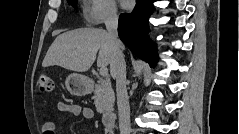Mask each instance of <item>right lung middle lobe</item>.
<instances>
[{
  "label": "right lung middle lobe",
  "instance_id": "right-lung-middle-lobe-1",
  "mask_svg": "<svg viewBox=\"0 0 239 134\" xmlns=\"http://www.w3.org/2000/svg\"><path fill=\"white\" fill-rule=\"evenodd\" d=\"M77 0H68V3L71 4L72 6H76Z\"/></svg>",
  "mask_w": 239,
  "mask_h": 134
}]
</instances>
